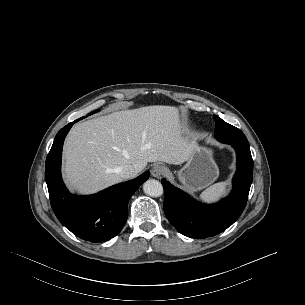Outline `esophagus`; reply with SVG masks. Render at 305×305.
Segmentation results:
<instances>
[{"label": "esophagus", "instance_id": "1", "mask_svg": "<svg viewBox=\"0 0 305 305\" xmlns=\"http://www.w3.org/2000/svg\"><path fill=\"white\" fill-rule=\"evenodd\" d=\"M164 166L160 164H156L151 169V175L153 177L159 178L164 173Z\"/></svg>", "mask_w": 305, "mask_h": 305}]
</instances>
